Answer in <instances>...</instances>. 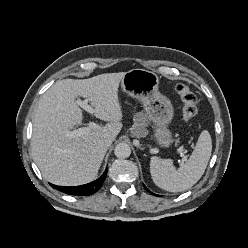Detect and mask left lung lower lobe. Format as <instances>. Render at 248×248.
<instances>
[{"label":"left lung lower lobe","mask_w":248,"mask_h":248,"mask_svg":"<svg viewBox=\"0 0 248 248\" xmlns=\"http://www.w3.org/2000/svg\"><path fill=\"white\" fill-rule=\"evenodd\" d=\"M145 187V186H144ZM145 189L147 190V191H149L146 187H145ZM150 192V191H149ZM151 193V192H150ZM153 194V193H152ZM153 195H155V194H153Z\"/></svg>","instance_id":"0a47b994"}]
</instances>
